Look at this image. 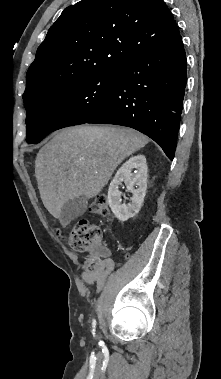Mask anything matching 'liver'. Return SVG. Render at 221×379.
Here are the masks:
<instances>
[{
    "mask_svg": "<svg viewBox=\"0 0 221 379\" xmlns=\"http://www.w3.org/2000/svg\"><path fill=\"white\" fill-rule=\"evenodd\" d=\"M148 142L142 133L116 126H77L57 132L35 161L45 208L59 218L69 199L96 197L118 165Z\"/></svg>",
    "mask_w": 221,
    "mask_h": 379,
    "instance_id": "obj_1",
    "label": "liver"
}]
</instances>
